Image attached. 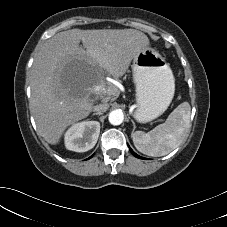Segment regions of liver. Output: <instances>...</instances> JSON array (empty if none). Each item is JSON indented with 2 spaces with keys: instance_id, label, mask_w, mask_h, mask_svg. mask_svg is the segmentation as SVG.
<instances>
[{
  "instance_id": "6515ba94",
  "label": "liver",
  "mask_w": 227,
  "mask_h": 227,
  "mask_svg": "<svg viewBox=\"0 0 227 227\" xmlns=\"http://www.w3.org/2000/svg\"><path fill=\"white\" fill-rule=\"evenodd\" d=\"M80 42L86 50L79 46ZM147 46L148 37L135 29L75 28L47 40L31 68L30 108L38 133L48 143L57 144L68 126L90 114L92 94L105 97L114 93V87L106 86L94 77L96 68L118 79ZM72 59L86 62L93 73L90 87L79 94L65 91L58 80L61 66Z\"/></svg>"
}]
</instances>
